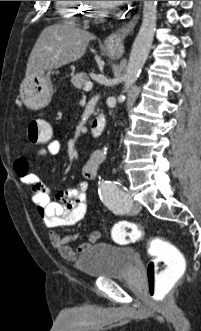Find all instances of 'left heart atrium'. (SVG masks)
I'll use <instances>...</instances> for the list:
<instances>
[{
  "label": "left heart atrium",
  "mask_w": 201,
  "mask_h": 331,
  "mask_svg": "<svg viewBox=\"0 0 201 331\" xmlns=\"http://www.w3.org/2000/svg\"><path fill=\"white\" fill-rule=\"evenodd\" d=\"M103 4L107 5V6H119L122 5L128 1H100Z\"/></svg>",
  "instance_id": "left-heart-atrium-1"
}]
</instances>
